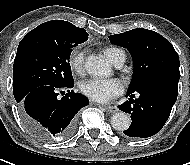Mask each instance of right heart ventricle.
Segmentation results:
<instances>
[{
	"label": "right heart ventricle",
	"mask_w": 190,
	"mask_h": 165,
	"mask_svg": "<svg viewBox=\"0 0 190 165\" xmlns=\"http://www.w3.org/2000/svg\"><path fill=\"white\" fill-rule=\"evenodd\" d=\"M104 54L107 57V59L114 65L118 63L120 59H125L124 52L117 47H106L104 49Z\"/></svg>",
	"instance_id": "obj_1"
}]
</instances>
